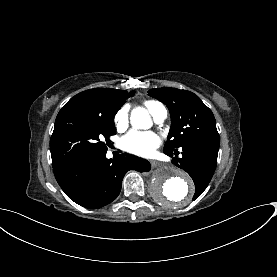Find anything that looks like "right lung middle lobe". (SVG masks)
<instances>
[{"label": "right lung middle lobe", "mask_w": 277, "mask_h": 277, "mask_svg": "<svg viewBox=\"0 0 277 277\" xmlns=\"http://www.w3.org/2000/svg\"><path fill=\"white\" fill-rule=\"evenodd\" d=\"M114 115L100 116L82 108L60 111L50 140L52 166L107 150L104 142L116 133Z\"/></svg>", "instance_id": "obj_1"}]
</instances>
